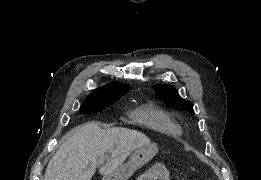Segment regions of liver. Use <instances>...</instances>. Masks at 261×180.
Returning a JSON list of instances; mask_svg holds the SVG:
<instances>
[{
    "label": "liver",
    "mask_w": 261,
    "mask_h": 180,
    "mask_svg": "<svg viewBox=\"0 0 261 180\" xmlns=\"http://www.w3.org/2000/svg\"><path fill=\"white\" fill-rule=\"evenodd\" d=\"M150 144L149 138L127 128L102 130L98 122H88L70 132L51 158L44 180H91L97 168L101 176H108L136 148Z\"/></svg>",
    "instance_id": "obj_1"
}]
</instances>
